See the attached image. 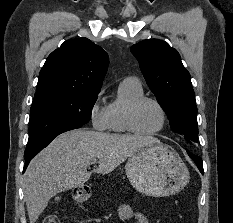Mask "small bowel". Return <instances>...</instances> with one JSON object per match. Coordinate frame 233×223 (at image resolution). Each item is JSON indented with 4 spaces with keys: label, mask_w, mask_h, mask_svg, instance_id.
<instances>
[{
    "label": "small bowel",
    "mask_w": 233,
    "mask_h": 223,
    "mask_svg": "<svg viewBox=\"0 0 233 223\" xmlns=\"http://www.w3.org/2000/svg\"><path fill=\"white\" fill-rule=\"evenodd\" d=\"M118 216L123 221L135 220L136 223H149L147 217L140 211L127 204H122L118 209Z\"/></svg>",
    "instance_id": "obj_1"
}]
</instances>
